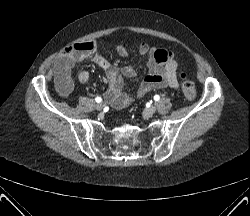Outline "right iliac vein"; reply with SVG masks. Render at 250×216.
<instances>
[{
    "label": "right iliac vein",
    "instance_id": "1",
    "mask_svg": "<svg viewBox=\"0 0 250 216\" xmlns=\"http://www.w3.org/2000/svg\"><path fill=\"white\" fill-rule=\"evenodd\" d=\"M102 109H103V104L102 103H98L96 105V110L101 111Z\"/></svg>",
    "mask_w": 250,
    "mask_h": 216
}]
</instances>
